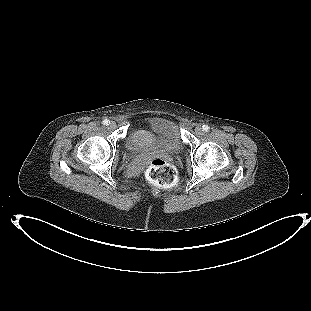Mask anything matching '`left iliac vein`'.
I'll return each instance as SVG.
<instances>
[{"mask_svg": "<svg viewBox=\"0 0 311 311\" xmlns=\"http://www.w3.org/2000/svg\"><path fill=\"white\" fill-rule=\"evenodd\" d=\"M202 132H203V129L200 125L195 127V133L196 134H202Z\"/></svg>", "mask_w": 311, "mask_h": 311, "instance_id": "left-iliac-vein-1", "label": "left iliac vein"}]
</instances>
